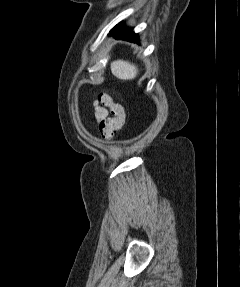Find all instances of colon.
<instances>
[{
  "label": "colon",
  "mask_w": 240,
  "mask_h": 287,
  "mask_svg": "<svg viewBox=\"0 0 240 287\" xmlns=\"http://www.w3.org/2000/svg\"><path fill=\"white\" fill-rule=\"evenodd\" d=\"M98 101L110 110L111 117L104 120L99 126L102 136L106 140H110L124 124L125 109L124 106L116 102L109 93L99 94Z\"/></svg>",
  "instance_id": "obj_1"
}]
</instances>
